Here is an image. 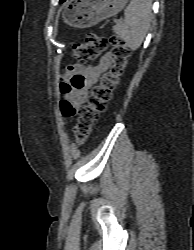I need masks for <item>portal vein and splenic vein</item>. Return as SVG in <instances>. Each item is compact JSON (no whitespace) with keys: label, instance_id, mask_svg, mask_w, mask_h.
Instances as JSON below:
<instances>
[{"label":"portal vein and splenic vein","instance_id":"18ae733b","mask_svg":"<svg viewBox=\"0 0 194 250\" xmlns=\"http://www.w3.org/2000/svg\"><path fill=\"white\" fill-rule=\"evenodd\" d=\"M115 22H116V24H120V23H122V20H116Z\"/></svg>","mask_w":194,"mask_h":250}]
</instances>
